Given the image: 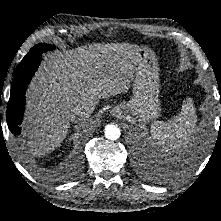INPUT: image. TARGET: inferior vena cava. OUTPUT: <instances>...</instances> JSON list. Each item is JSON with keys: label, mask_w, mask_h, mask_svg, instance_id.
Returning <instances> with one entry per match:
<instances>
[{"label": "inferior vena cava", "mask_w": 221, "mask_h": 221, "mask_svg": "<svg viewBox=\"0 0 221 221\" xmlns=\"http://www.w3.org/2000/svg\"><path fill=\"white\" fill-rule=\"evenodd\" d=\"M94 109L95 104L92 101H82L74 108V112L80 117H88Z\"/></svg>", "instance_id": "obj_1"}]
</instances>
